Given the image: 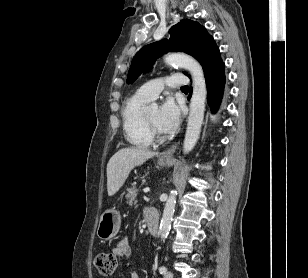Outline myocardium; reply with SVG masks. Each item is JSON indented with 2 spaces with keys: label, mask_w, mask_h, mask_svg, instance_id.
I'll return each instance as SVG.
<instances>
[{
  "label": "myocardium",
  "mask_w": 308,
  "mask_h": 278,
  "mask_svg": "<svg viewBox=\"0 0 308 278\" xmlns=\"http://www.w3.org/2000/svg\"><path fill=\"white\" fill-rule=\"evenodd\" d=\"M144 121L146 126L148 127L149 131L152 133V135H159V130L156 126H154L150 120L147 117V114L144 113Z\"/></svg>",
  "instance_id": "1"
}]
</instances>
